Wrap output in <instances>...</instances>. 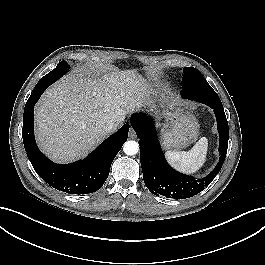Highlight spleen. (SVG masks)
Wrapping results in <instances>:
<instances>
[{
    "label": "spleen",
    "mask_w": 265,
    "mask_h": 265,
    "mask_svg": "<svg viewBox=\"0 0 265 265\" xmlns=\"http://www.w3.org/2000/svg\"><path fill=\"white\" fill-rule=\"evenodd\" d=\"M207 149L208 140L202 137L190 151H167L165 156L175 169L191 174L203 166L206 160Z\"/></svg>",
    "instance_id": "obj_1"
}]
</instances>
